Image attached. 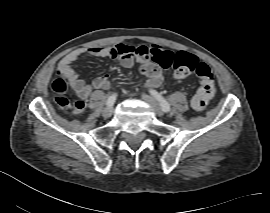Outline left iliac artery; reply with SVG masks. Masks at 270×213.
Masks as SVG:
<instances>
[{"label": "left iliac artery", "mask_w": 270, "mask_h": 213, "mask_svg": "<svg viewBox=\"0 0 270 213\" xmlns=\"http://www.w3.org/2000/svg\"><path fill=\"white\" fill-rule=\"evenodd\" d=\"M150 92L160 102L162 110L164 112H169L170 111V104L155 90H151Z\"/></svg>", "instance_id": "44dca946"}]
</instances>
